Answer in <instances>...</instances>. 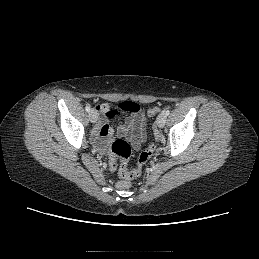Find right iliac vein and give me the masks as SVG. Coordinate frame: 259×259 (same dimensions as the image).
Wrapping results in <instances>:
<instances>
[{"mask_svg": "<svg viewBox=\"0 0 259 259\" xmlns=\"http://www.w3.org/2000/svg\"><path fill=\"white\" fill-rule=\"evenodd\" d=\"M97 113L94 110H91L89 112V119L92 123H95L97 121Z\"/></svg>", "mask_w": 259, "mask_h": 259, "instance_id": "obj_1", "label": "right iliac vein"}]
</instances>
